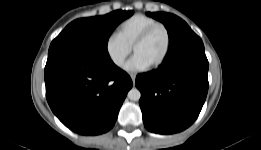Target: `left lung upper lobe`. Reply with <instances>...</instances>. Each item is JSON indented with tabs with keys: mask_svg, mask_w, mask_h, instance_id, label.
<instances>
[{
	"mask_svg": "<svg viewBox=\"0 0 261 150\" xmlns=\"http://www.w3.org/2000/svg\"><path fill=\"white\" fill-rule=\"evenodd\" d=\"M147 15L164 24L168 31L170 46L177 42L184 34L192 31L185 21L174 14L165 12H148Z\"/></svg>",
	"mask_w": 261,
	"mask_h": 150,
	"instance_id": "obj_1",
	"label": "left lung upper lobe"
}]
</instances>
